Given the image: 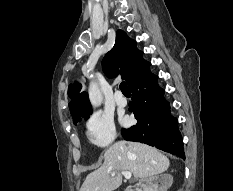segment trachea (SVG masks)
Returning <instances> with one entry per match:
<instances>
[{
  "label": "trachea",
  "mask_w": 233,
  "mask_h": 191,
  "mask_svg": "<svg viewBox=\"0 0 233 191\" xmlns=\"http://www.w3.org/2000/svg\"><path fill=\"white\" fill-rule=\"evenodd\" d=\"M119 87H120V90L122 91L123 94L130 93L126 82H121Z\"/></svg>",
  "instance_id": "obj_1"
}]
</instances>
